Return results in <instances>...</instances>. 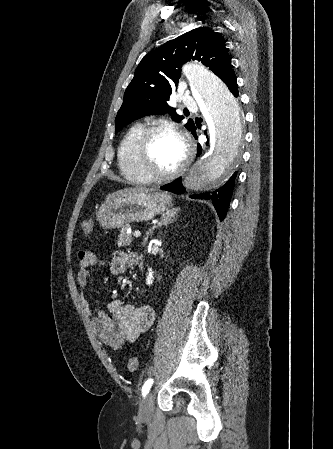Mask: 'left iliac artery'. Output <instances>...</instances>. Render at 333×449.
<instances>
[{
  "label": "left iliac artery",
  "mask_w": 333,
  "mask_h": 449,
  "mask_svg": "<svg viewBox=\"0 0 333 449\" xmlns=\"http://www.w3.org/2000/svg\"><path fill=\"white\" fill-rule=\"evenodd\" d=\"M152 384H153L152 378L145 381V383L142 386V396L143 397H145L149 393V390H150Z\"/></svg>",
  "instance_id": "obj_1"
}]
</instances>
